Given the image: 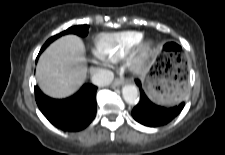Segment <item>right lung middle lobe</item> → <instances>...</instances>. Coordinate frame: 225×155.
<instances>
[{"label":"right lung middle lobe","mask_w":225,"mask_h":155,"mask_svg":"<svg viewBox=\"0 0 225 155\" xmlns=\"http://www.w3.org/2000/svg\"><path fill=\"white\" fill-rule=\"evenodd\" d=\"M88 25H79V26H73L70 27L69 29L61 32L60 34H57L53 37H51L41 48L40 53L51 43L53 42L55 39H57L58 37L68 34V33H74L77 34L79 36H86L88 34Z\"/></svg>","instance_id":"dd1d6c3e"}]
</instances>
